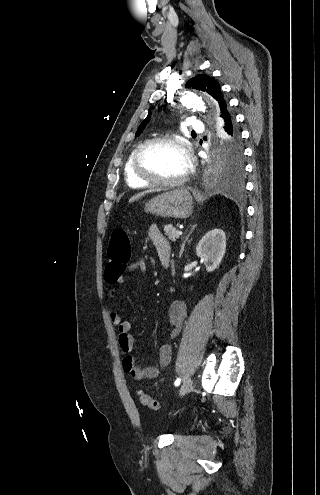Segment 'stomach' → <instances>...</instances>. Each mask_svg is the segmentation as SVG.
<instances>
[{"mask_svg": "<svg viewBox=\"0 0 320 495\" xmlns=\"http://www.w3.org/2000/svg\"><path fill=\"white\" fill-rule=\"evenodd\" d=\"M144 211L159 217L185 219L193 212V199L187 189L177 188L151 199Z\"/></svg>", "mask_w": 320, "mask_h": 495, "instance_id": "0dacf381", "label": "stomach"}]
</instances>
